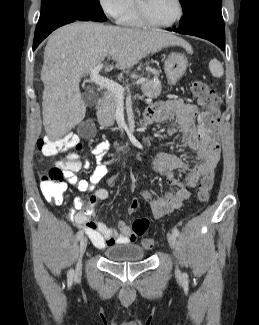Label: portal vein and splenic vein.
Masks as SVG:
<instances>
[{
	"label": "portal vein and splenic vein",
	"instance_id": "obj_1",
	"mask_svg": "<svg viewBox=\"0 0 259 325\" xmlns=\"http://www.w3.org/2000/svg\"><path fill=\"white\" fill-rule=\"evenodd\" d=\"M103 68V64H98L97 66H95L90 73V80L92 82H94L95 84L104 87L106 89H108L109 91L113 92L118 99L122 100L124 98V92L125 89H128L127 87H123L120 84L102 77L99 75L100 70ZM145 81V78H140L136 81V84H142Z\"/></svg>",
	"mask_w": 259,
	"mask_h": 325
}]
</instances>
